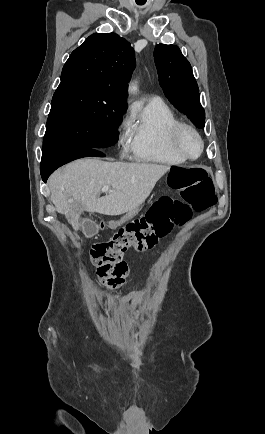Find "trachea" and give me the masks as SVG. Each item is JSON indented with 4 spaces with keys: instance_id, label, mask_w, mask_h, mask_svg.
<instances>
[{
    "instance_id": "obj_1",
    "label": "trachea",
    "mask_w": 265,
    "mask_h": 434,
    "mask_svg": "<svg viewBox=\"0 0 265 434\" xmlns=\"http://www.w3.org/2000/svg\"><path fill=\"white\" fill-rule=\"evenodd\" d=\"M138 5H144V3H138Z\"/></svg>"
}]
</instances>
